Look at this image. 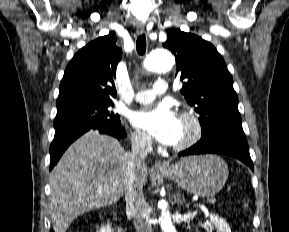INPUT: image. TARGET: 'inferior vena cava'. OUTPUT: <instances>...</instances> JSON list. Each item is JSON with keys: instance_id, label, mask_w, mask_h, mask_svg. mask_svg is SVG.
<instances>
[{"instance_id": "602c4592", "label": "inferior vena cava", "mask_w": 289, "mask_h": 232, "mask_svg": "<svg viewBox=\"0 0 289 232\" xmlns=\"http://www.w3.org/2000/svg\"><path fill=\"white\" fill-rule=\"evenodd\" d=\"M151 145V137L138 134L132 138V150L125 156L124 192L126 213L134 216L137 232H152V226L149 222V207L142 185L136 176V169L142 167V162L151 150Z\"/></svg>"}]
</instances>
